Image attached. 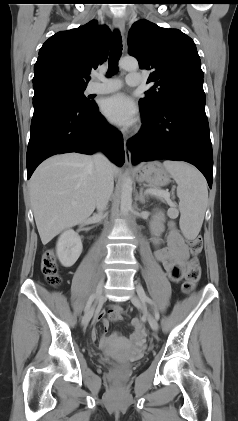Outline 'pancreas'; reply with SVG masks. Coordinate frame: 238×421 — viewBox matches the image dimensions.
I'll use <instances>...</instances> for the list:
<instances>
[{"instance_id": "pancreas-1", "label": "pancreas", "mask_w": 238, "mask_h": 421, "mask_svg": "<svg viewBox=\"0 0 238 421\" xmlns=\"http://www.w3.org/2000/svg\"><path fill=\"white\" fill-rule=\"evenodd\" d=\"M155 196V195H154ZM157 199L161 200L162 202L168 204V205H172L173 202L171 201L170 197L166 198V197H162V196H155Z\"/></svg>"}]
</instances>
